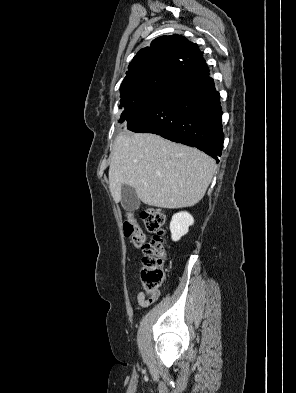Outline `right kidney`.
Wrapping results in <instances>:
<instances>
[{
  "instance_id": "1",
  "label": "right kidney",
  "mask_w": 296,
  "mask_h": 393,
  "mask_svg": "<svg viewBox=\"0 0 296 393\" xmlns=\"http://www.w3.org/2000/svg\"><path fill=\"white\" fill-rule=\"evenodd\" d=\"M194 224V218L188 212H179L173 215L170 222L171 238L173 241H179L182 236L186 235L189 227Z\"/></svg>"
}]
</instances>
